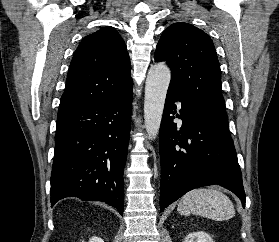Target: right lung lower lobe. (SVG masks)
Listing matches in <instances>:
<instances>
[{"label":"right lung lower lobe","mask_w":279,"mask_h":242,"mask_svg":"<svg viewBox=\"0 0 279 242\" xmlns=\"http://www.w3.org/2000/svg\"><path fill=\"white\" fill-rule=\"evenodd\" d=\"M131 104L132 89L111 100L58 111L51 206L78 197L103 201L123 214Z\"/></svg>","instance_id":"obj_1"}]
</instances>
